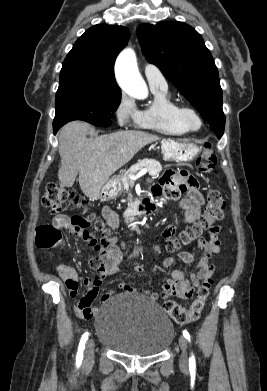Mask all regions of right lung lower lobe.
I'll list each match as a JSON object with an SVG mask.
<instances>
[{
	"label": "right lung lower lobe",
	"mask_w": 267,
	"mask_h": 391,
	"mask_svg": "<svg viewBox=\"0 0 267 391\" xmlns=\"http://www.w3.org/2000/svg\"><path fill=\"white\" fill-rule=\"evenodd\" d=\"M60 127H57V126H53V129H54V134L58 131Z\"/></svg>",
	"instance_id": "right-lung-lower-lobe-1"
}]
</instances>
